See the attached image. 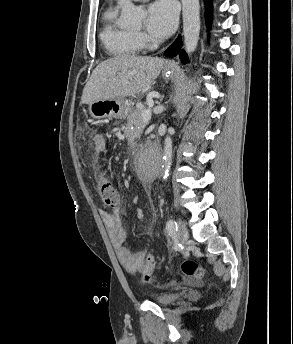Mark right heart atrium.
<instances>
[{
    "instance_id": "obj_1",
    "label": "right heart atrium",
    "mask_w": 293,
    "mask_h": 344,
    "mask_svg": "<svg viewBox=\"0 0 293 344\" xmlns=\"http://www.w3.org/2000/svg\"><path fill=\"white\" fill-rule=\"evenodd\" d=\"M136 38H137V41L139 42V44L142 47L148 45L149 42H150L149 38L145 34H143L141 32H137L136 33Z\"/></svg>"
}]
</instances>
